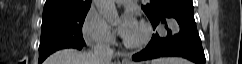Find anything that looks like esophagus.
Returning a JSON list of instances; mask_svg holds the SVG:
<instances>
[{
  "instance_id": "1",
  "label": "esophagus",
  "mask_w": 242,
  "mask_h": 64,
  "mask_svg": "<svg viewBox=\"0 0 242 64\" xmlns=\"http://www.w3.org/2000/svg\"><path fill=\"white\" fill-rule=\"evenodd\" d=\"M123 64H129L128 59H123Z\"/></svg>"
}]
</instances>
